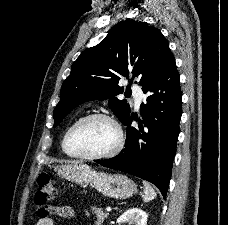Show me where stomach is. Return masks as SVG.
Returning a JSON list of instances; mask_svg holds the SVG:
<instances>
[{
    "label": "stomach",
    "instance_id": "1",
    "mask_svg": "<svg viewBox=\"0 0 228 225\" xmlns=\"http://www.w3.org/2000/svg\"><path fill=\"white\" fill-rule=\"evenodd\" d=\"M57 171L59 177H67V179L74 181L76 185H82V187L89 185L105 197H112V199H130L137 193L135 183L125 175L98 173L88 165H84L82 161L72 163L68 167H58Z\"/></svg>",
    "mask_w": 228,
    "mask_h": 225
}]
</instances>
